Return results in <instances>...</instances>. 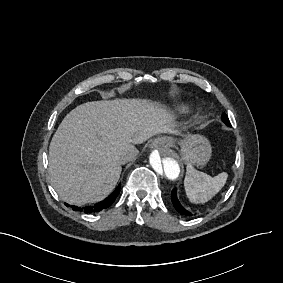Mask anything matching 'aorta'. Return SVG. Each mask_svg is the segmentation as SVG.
<instances>
[{
  "instance_id": "762f6f07",
  "label": "aorta",
  "mask_w": 283,
  "mask_h": 283,
  "mask_svg": "<svg viewBox=\"0 0 283 283\" xmlns=\"http://www.w3.org/2000/svg\"><path fill=\"white\" fill-rule=\"evenodd\" d=\"M150 169L160 182L176 181L182 173V162L178 154L168 147H160L149 156Z\"/></svg>"
}]
</instances>
